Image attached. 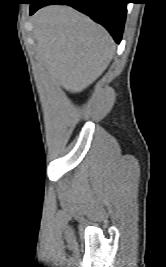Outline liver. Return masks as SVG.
<instances>
[{"label": "liver", "instance_id": "1", "mask_svg": "<svg viewBox=\"0 0 166 267\" xmlns=\"http://www.w3.org/2000/svg\"><path fill=\"white\" fill-rule=\"evenodd\" d=\"M37 58L67 91H83L108 67L115 53L109 33L71 7L52 5L34 17Z\"/></svg>", "mask_w": 166, "mask_h": 267}]
</instances>
